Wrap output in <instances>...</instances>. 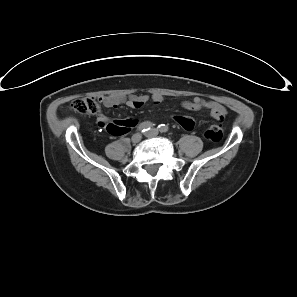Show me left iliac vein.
Returning <instances> with one entry per match:
<instances>
[{
	"instance_id": "obj_1",
	"label": "left iliac vein",
	"mask_w": 297,
	"mask_h": 297,
	"mask_svg": "<svg viewBox=\"0 0 297 297\" xmlns=\"http://www.w3.org/2000/svg\"><path fill=\"white\" fill-rule=\"evenodd\" d=\"M156 134H157V131L155 129H152V130L146 132L144 135L146 137H154V136H156Z\"/></svg>"
}]
</instances>
